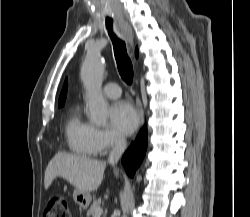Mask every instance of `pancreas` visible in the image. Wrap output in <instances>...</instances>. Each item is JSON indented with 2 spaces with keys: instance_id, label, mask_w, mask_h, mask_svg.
Returning <instances> with one entry per match:
<instances>
[{
  "instance_id": "cf45deb5",
  "label": "pancreas",
  "mask_w": 250,
  "mask_h": 217,
  "mask_svg": "<svg viewBox=\"0 0 250 217\" xmlns=\"http://www.w3.org/2000/svg\"><path fill=\"white\" fill-rule=\"evenodd\" d=\"M101 205V200H94L90 208L87 210V216H94L96 209L99 208Z\"/></svg>"
}]
</instances>
